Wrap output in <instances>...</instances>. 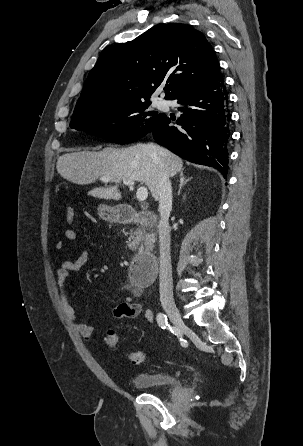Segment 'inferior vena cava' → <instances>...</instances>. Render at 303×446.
Returning a JSON list of instances; mask_svg holds the SVG:
<instances>
[{
	"instance_id": "obj_1",
	"label": "inferior vena cava",
	"mask_w": 303,
	"mask_h": 446,
	"mask_svg": "<svg viewBox=\"0 0 303 446\" xmlns=\"http://www.w3.org/2000/svg\"><path fill=\"white\" fill-rule=\"evenodd\" d=\"M159 213L158 224L160 257H159V289L160 301H173L172 266L170 255V227L169 216L172 210V186L169 176L162 174L158 182Z\"/></svg>"
}]
</instances>
